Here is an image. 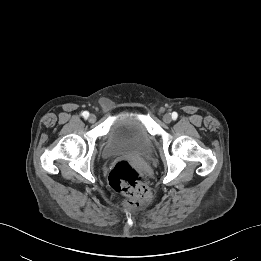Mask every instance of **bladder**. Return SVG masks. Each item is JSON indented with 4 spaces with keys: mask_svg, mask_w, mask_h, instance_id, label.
<instances>
[{
    "mask_svg": "<svg viewBox=\"0 0 261 261\" xmlns=\"http://www.w3.org/2000/svg\"><path fill=\"white\" fill-rule=\"evenodd\" d=\"M153 150V137L140 113L130 110L116 116L105 135L102 148L104 158L119 155L147 157Z\"/></svg>",
    "mask_w": 261,
    "mask_h": 261,
    "instance_id": "bladder-1",
    "label": "bladder"
}]
</instances>
